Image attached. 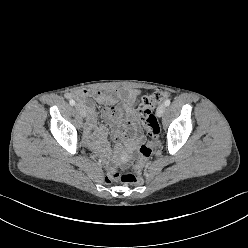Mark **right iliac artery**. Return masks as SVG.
<instances>
[{"label": "right iliac artery", "instance_id": "82829eb1", "mask_svg": "<svg viewBox=\"0 0 248 248\" xmlns=\"http://www.w3.org/2000/svg\"><path fill=\"white\" fill-rule=\"evenodd\" d=\"M69 103H70V105H72V106L75 105V101H74L73 99H71V100L69 101Z\"/></svg>", "mask_w": 248, "mask_h": 248}]
</instances>
